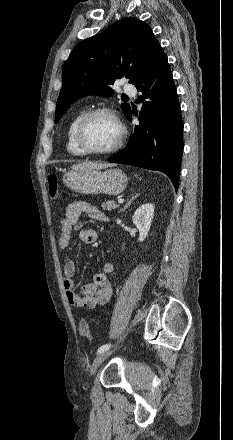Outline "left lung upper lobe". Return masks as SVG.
Returning <instances> with one entry per match:
<instances>
[{
  "instance_id": "1",
  "label": "left lung upper lobe",
  "mask_w": 233,
  "mask_h": 440,
  "mask_svg": "<svg viewBox=\"0 0 233 440\" xmlns=\"http://www.w3.org/2000/svg\"><path fill=\"white\" fill-rule=\"evenodd\" d=\"M152 30L136 18L120 20L102 33L80 42L62 70V88L56 104L57 122L67 108L86 95L111 96L116 79L136 84L162 52ZM127 116L131 108L123 103Z\"/></svg>"
}]
</instances>
